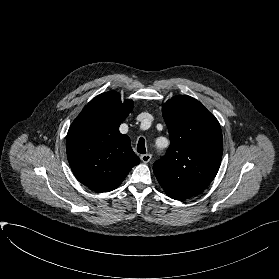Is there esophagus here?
<instances>
[{"mask_svg": "<svg viewBox=\"0 0 279 279\" xmlns=\"http://www.w3.org/2000/svg\"><path fill=\"white\" fill-rule=\"evenodd\" d=\"M140 158H141L142 162L148 163L151 160L152 155L151 154H143V155L140 156Z\"/></svg>", "mask_w": 279, "mask_h": 279, "instance_id": "1", "label": "esophagus"}]
</instances>
